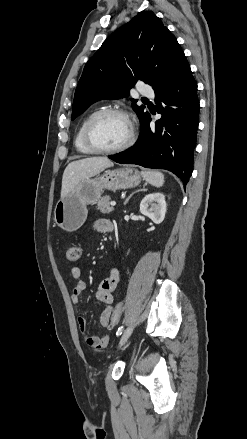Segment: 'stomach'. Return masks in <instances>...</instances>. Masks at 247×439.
<instances>
[{
	"label": "stomach",
	"mask_w": 247,
	"mask_h": 439,
	"mask_svg": "<svg viewBox=\"0 0 247 439\" xmlns=\"http://www.w3.org/2000/svg\"><path fill=\"white\" fill-rule=\"evenodd\" d=\"M140 182L139 172L132 167L105 170L101 175L84 179L56 203L54 222L63 230L74 232L87 218V205L98 202L104 190L132 188Z\"/></svg>",
	"instance_id": "0dacf381"
}]
</instances>
